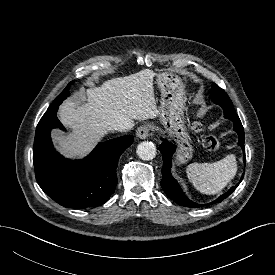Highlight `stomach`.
<instances>
[{"mask_svg": "<svg viewBox=\"0 0 275 275\" xmlns=\"http://www.w3.org/2000/svg\"><path fill=\"white\" fill-rule=\"evenodd\" d=\"M161 92L159 116L166 132L178 144L176 163L183 164L192 158L193 147L184 122L185 88L180 77L172 72L156 75Z\"/></svg>", "mask_w": 275, "mask_h": 275, "instance_id": "obj_1", "label": "stomach"}]
</instances>
